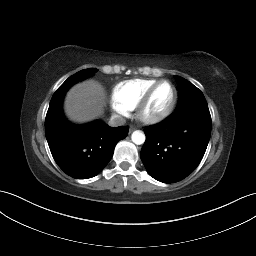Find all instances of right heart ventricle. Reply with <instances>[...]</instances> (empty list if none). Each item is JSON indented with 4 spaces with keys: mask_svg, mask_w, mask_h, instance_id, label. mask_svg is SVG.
Returning a JSON list of instances; mask_svg holds the SVG:
<instances>
[{
    "mask_svg": "<svg viewBox=\"0 0 256 256\" xmlns=\"http://www.w3.org/2000/svg\"><path fill=\"white\" fill-rule=\"evenodd\" d=\"M155 79H131L118 83L112 90V103L127 111L134 110Z\"/></svg>",
    "mask_w": 256,
    "mask_h": 256,
    "instance_id": "1",
    "label": "right heart ventricle"
}]
</instances>
